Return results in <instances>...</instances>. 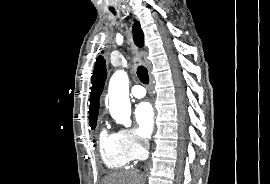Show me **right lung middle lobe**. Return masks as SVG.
<instances>
[{"label":"right lung middle lobe","instance_id":"1","mask_svg":"<svg viewBox=\"0 0 270 184\" xmlns=\"http://www.w3.org/2000/svg\"><path fill=\"white\" fill-rule=\"evenodd\" d=\"M96 122H97V121L91 122V123H90L91 129H94V128L96 127Z\"/></svg>","mask_w":270,"mask_h":184}]
</instances>
